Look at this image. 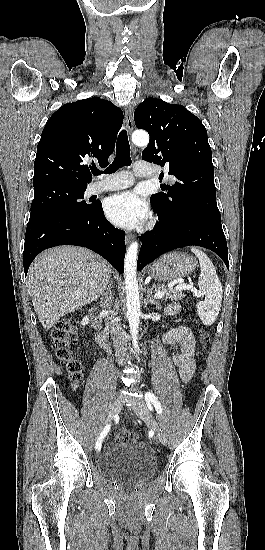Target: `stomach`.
Here are the masks:
<instances>
[{
	"instance_id": "stomach-1",
	"label": "stomach",
	"mask_w": 265,
	"mask_h": 550,
	"mask_svg": "<svg viewBox=\"0 0 265 550\" xmlns=\"http://www.w3.org/2000/svg\"><path fill=\"white\" fill-rule=\"evenodd\" d=\"M196 267L194 257L181 252H170L160 257L150 268L158 281L169 282L190 275Z\"/></svg>"
}]
</instances>
